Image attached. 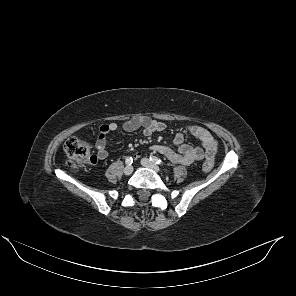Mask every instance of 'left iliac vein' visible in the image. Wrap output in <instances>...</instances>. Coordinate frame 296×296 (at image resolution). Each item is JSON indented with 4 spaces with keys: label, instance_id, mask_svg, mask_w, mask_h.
<instances>
[{
    "label": "left iliac vein",
    "instance_id": "4c4485c4",
    "mask_svg": "<svg viewBox=\"0 0 296 296\" xmlns=\"http://www.w3.org/2000/svg\"><path fill=\"white\" fill-rule=\"evenodd\" d=\"M141 164H142V166H144V167H146V168H150V169H152V170H154V171H156V172H158V173H160L161 172V169L156 165V164H154L153 162H151L149 159H147V158H143L142 160H141Z\"/></svg>",
    "mask_w": 296,
    "mask_h": 296
}]
</instances>
